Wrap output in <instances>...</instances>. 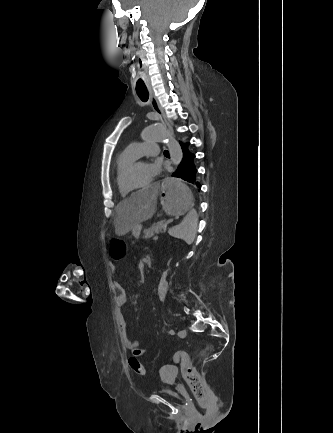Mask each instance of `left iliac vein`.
I'll return each instance as SVG.
<instances>
[{"mask_svg":"<svg viewBox=\"0 0 333 433\" xmlns=\"http://www.w3.org/2000/svg\"><path fill=\"white\" fill-rule=\"evenodd\" d=\"M186 335H187V331L186 330H180L178 332V336L181 337V338L186 337Z\"/></svg>","mask_w":333,"mask_h":433,"instance_id":"4c4485c4","label":"left iliac vein"}]
</instances>
